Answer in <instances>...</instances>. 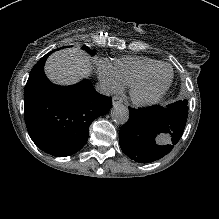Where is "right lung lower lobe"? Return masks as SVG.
<instances>
[{"label": "right lung lower lobe", "instance_id": "obj_1", "mask_svg": "<svg viewBox=\"0 0 219 219\" xmlns=\"http://www.w3.org/2000/svg\"><path fill=\"white\" fill-rule=\"evenodd\" d=\"M46 58L33 67L25 86V122L40 149L54 156H68L84 146L90 124L106 114L112 103L87 79L72 86L49 82L43 71Z\"/></svg>", "mask_w": 219, "mask_h": 219}]
</instances>
